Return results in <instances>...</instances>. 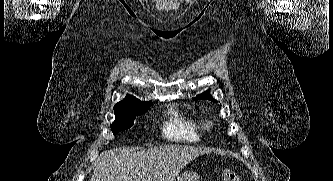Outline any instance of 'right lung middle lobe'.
<instances>
[{"label": "right lung middle lobe", "instance_id": "dd1d6c3e", "mask_svg": "<svg viewBox=\"0 0 333 181\" xmlns=\"http://www.w3.org/2000/svg\"><path fill=\"white\" fill-rule=\"evenodd\" d=\"M149 107L150 105L141 108L115 112V121L111 125L113 134L116 135L121 130L130 128L133 125L135 118L143 115Z\"/></svg>", "mask_w": 333, "mask_h": 181}]
</instances>
